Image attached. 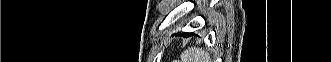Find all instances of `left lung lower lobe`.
<instances>
[{
	"mask_svg": "<svg viewBox=\"0 0 331 62\" xmlns=\"http://www.w3.org/2000/svg\"><path fill=\"white\" fill-rule=\"evenodd\" d=\"M182 35H190V34L188 33V34H182Z\"/></svg>",
	"mask_w": 331,
	"mask_h": 62,
	"instance_id": "1",
	"label": "left lung lower lobe"
}]
</instances>
